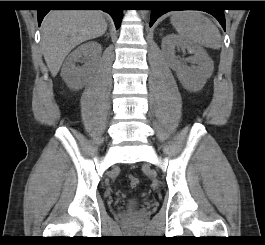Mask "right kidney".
<instances>
[{
  "mask_svg": "<svg viewBox=\"0 0 265 245\" xmlns=\"http://www.w3.org/2000/svg\"><path fill=\"white\" fill-rule=\"evenodd\" d=\"M101 52V45L96 41H90L79 46L66 58L62 66L61 77L69 88L79 90L86 85L88 77L98 66ZM83 57L85 58L84 65L77 67L76 63Z\"/></svg>",
  "mask_w": 265,
  "mask_h": 245,
  "instance_id": "right-kidney-1",
  "label": "right kidney"
}]
</instances>
